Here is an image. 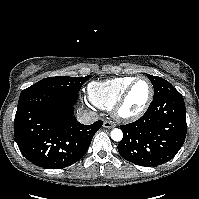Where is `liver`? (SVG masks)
<instances>
[{
    "mask_svg": "<svg viewBox=\"0 0 199 199\" xmlns=\"http://www.w3.org/2000/svg\"><path fill=\"white\" fill-rule=\"evenodd\" d=\"M81 112H83L82 109H79L78 114L81 113Z\"/></svg>",
    "mask_w": 199,
    "mask_h": 199,
    "instance_id": "obj_1",
    "label": "liver"
}]
</instances>
